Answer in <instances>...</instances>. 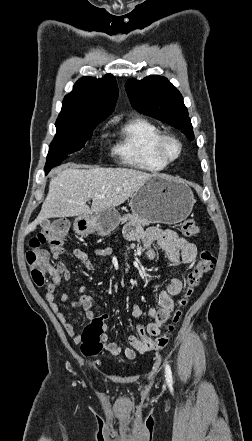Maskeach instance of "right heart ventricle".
I'll list each match as a JSON object with an SVG mask.
<instances>
[{
  "mask_svg": "<svg viewBox=\"0 0 252 441\" xmlns=\"http://www.w3.org/2000/svg\"><path fill=\"white\" fill-rule=\"evenodd\" d=\"M118 135L113 151L124 164L146 172H159L168 165L154 152L161 131L150 120L139 116L129 118L120 126Z\"/></svg>",
  "mask_w": 252,
  "mask_h": 441,
  "instance_id": "1",
  "label": "right heart ventricle"
}]
</instances>
